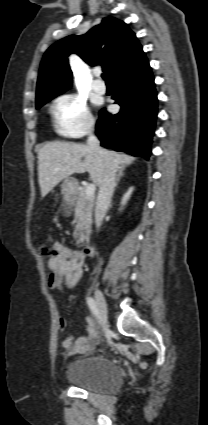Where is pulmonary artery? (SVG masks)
<instances>
[{"label":"pulmonary artery","mask_w":208,"mask_h":425,"mask_svg":"<svg viewBox=\"0 0 208 425\" xmlns=\"http://www.w3.org/2000/svg\"><path fill=\"white\" fill-rule=\"evenodd\" d=\"M93 90L96 91L99 94H104L107 90L106 85L100 81L97 80L93 83Z\"/></svg>","instance_id":"e3ab8cb5"}]
</instances>
